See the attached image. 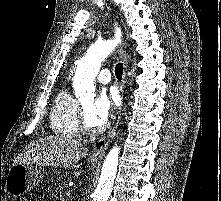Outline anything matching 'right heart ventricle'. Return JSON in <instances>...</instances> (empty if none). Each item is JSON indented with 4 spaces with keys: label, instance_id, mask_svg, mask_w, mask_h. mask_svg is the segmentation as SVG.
Instances as JSON below:
<instances>
[{
    "label": "right heart ventricle",
    "instance_id": "1",
    "mask_svg": "<svg viewBox=\"0 0 221 201\" xmlns=\"http://www.w3.org/2000/svg\"><path fill=\"white\" fill-rule=\"evenodd\" d=\"M78 112L77 99L66 89L59 91L50 113V124L53 131L63 137L76 136L79 133Z\"/></svg>",
    "mask_w": 221,
    "mask_h": 201
}]
</instances>
